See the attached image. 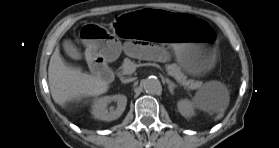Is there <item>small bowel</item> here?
<instances>
[{"mask_svg": "<svg viewBox=\"0 0 279 148\" xmlns=\"http://www.w3.org/2000/svg\"><path fill=\"white\" fill-rule=\"evenodd\" d=\"M124 53L130 57L166 61L167 52L161 47L141 40H128L123 45Z\"/></svg>", "mask_w": 279, "mask_h": 148, "instance_id": "obj_1", "label": "small bowel"}]
</instances>
